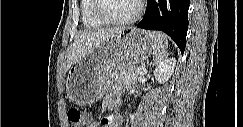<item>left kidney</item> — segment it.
I'll return each mask as SVG.
<instances>
[{"label": "left kidney", "instance_id": "obj_1", "mask_svg": "<svg viewBox=\"0 0 243 127\" xmlns=\"http://www.w3.org/2000/svg\"><path fill=\"white\" fill-rule=\"evenodd\" d=\"M175 65V58H169L161 62L154 71V76L156 80L159 83L167 82L174 71Z\"/></svg>", "mask_w": 243, "mask_h": 127}]
</instances>
